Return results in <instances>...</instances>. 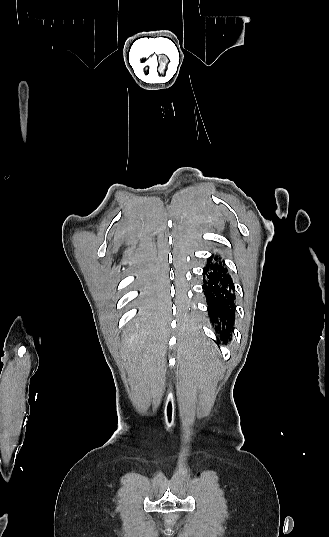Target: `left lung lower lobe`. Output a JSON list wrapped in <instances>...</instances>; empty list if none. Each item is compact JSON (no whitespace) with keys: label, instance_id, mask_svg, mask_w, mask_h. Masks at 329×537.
Wrapping results in <instances>:
<instances>
[{"label":"left lung lower lobe","instance_id":"left-lung-lower-lobe-1","mask_svg":"<svg viewBox=\"0 0 329 537\" xmlns=\"http://www.w3.org/2000/svg\"><path fill=\"white\" fill-rule=\"evenodd\" d=\"M203 274V291L210 320L221 336L230 337L235 320L233 280L217 256L207 260Z\"/></svg>","mask_w":329,"mask_h":537}]
</instances>
